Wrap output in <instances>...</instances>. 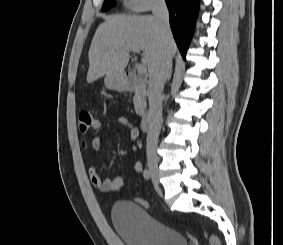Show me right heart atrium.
<instances>
[{
  "label": "right heart atrium",
  "mask_w": 283,
  "mask_h": 245,
  "mask_svg": "<svg viewBox=\"0 0 283 245\" xmlns=\"http://www.w3.org/2000/svg\"><path fill=\"white\" fill-rule=\"evenodd\" d=\"M127 6L136 12L148 11L163 3V0H125Z\"/></svg>",
  "instance_id": "right-heart-atrium-1"
}]
</instances>
